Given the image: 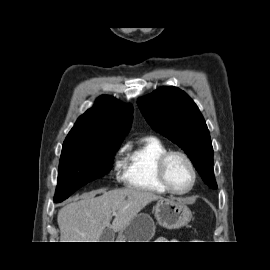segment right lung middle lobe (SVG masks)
<instances>
[{
  "instance_id": "dd1d6c3e",
  "label": "right lung middle lobe",
  "mask_w": 270,
  "mask_h": 270,
  "mask_svg": "<svg viewBox=\"0 0 270 270\" xmlns=\"http://www.w3.org/2000/svg\"><path fill=\"white\" fill-rule=\"evenodd\" d=\"M120 144L64 142L54 202L65 200L83 185L110 171Z\"/></svg>"
}]
</instances>
